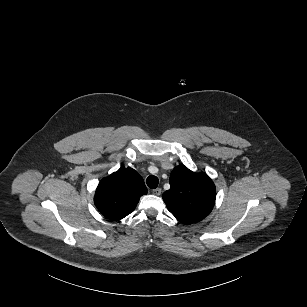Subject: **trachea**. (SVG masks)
<instances>
[{
  "label": "trachea",
  "instance_id": "1",
  "mask_svg": "<svg viewBox=\"0 0 307 307\" xmlns=\"http://www.w3.org/2000/svg\"><path fill=\"white\" fill-rule=\"evenodd\" d=\"M146 183L148 187H150L151 189H155L158 186L159 180L156 176H149L146 179Z\"/></svg>",
  "mask_w": 307,
  "mask_h": 307
}]
</instances>
